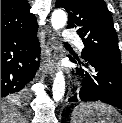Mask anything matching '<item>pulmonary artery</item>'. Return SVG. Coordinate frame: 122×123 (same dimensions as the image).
<instances>
[{"instance_id":"obj_1","label":"pulmonary artery","mask_w":122,"mask_h":123,"mask_svg":"<svg viewBox=\"0 0 122 123\" xmlns=\"http://www.w3.org/2000/svg\"><path fill=\"white\" fill-rule=\"evenodd\" d=\"M64 39L67 42L76 43L81 49L83 48V43L81 42L79 36L71 30H66L64 32Z\"/></svg>"}]
</instances>
